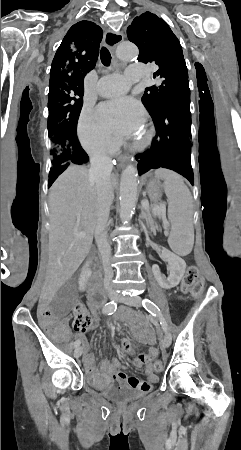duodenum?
Returning a JSON list of instances; mask_svg holds the SVG:
<instances>
[{
    "mask_svg": "<svg viewBox=\"0 0 241 450\" xmlns=\"http://www.w3.org/2000/svg\"><path fill=\"white\" fill-rule=\"evenodd\" d=\"M100 264L97 263L96 267L99 268ZM90 295L95 302H101L104 298V290L102 288V284L97 276H94L91 281L90 286Z\"/></svg>",
    "mask_w": 241,
    "mask_h": 450,
    "instance_id": "duodenum-1",
    "label": "duodenum"
}]
</instances>
